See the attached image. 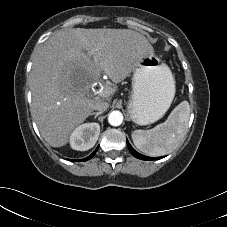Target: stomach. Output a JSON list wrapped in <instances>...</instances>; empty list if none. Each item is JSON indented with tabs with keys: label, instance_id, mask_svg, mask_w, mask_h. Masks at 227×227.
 I'll use <instances>...</instances> for the list:
<instances>
[{
	"label": "stomach",
	"instance_id": "1",
	"mask_svg": "<svg viewBox=\"0 0 227 227\" xmlns=\"http://www.w3.org/2000/svg\"><path fill=\"white\" fill-rule=\"evenodd\" d=\"M132 94L127 104L130 119L138 125L159 120L175 96L170 68L155 54L139 58L133 67Z\"/></svg>",
	"mask_w": 227,
	"mask_h": 227
}]
</instances>
